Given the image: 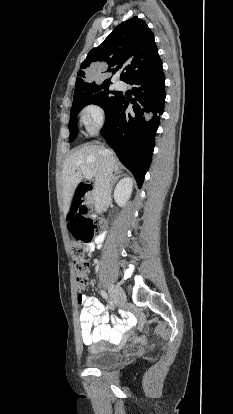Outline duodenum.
<instances>
[{"label":"duodenum","mask_w":233,"mask_h":414,"mask_svg":"<svg viewBox=\"0 0 233 414\" xmlns=\"http://www.w3.org/2000/svg\"><path fill=\"white\" fill-rule=\"evenodd\" d=\"M93 192V187L88 184L80 183L76 189L75 198L73 204L71 205V210L73 212H81L83 210V204L86 208L93 207V198L91 193Z\"/></svg>","instance_id":"obj_1"}]
</instances>
